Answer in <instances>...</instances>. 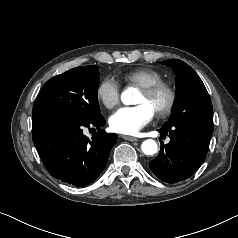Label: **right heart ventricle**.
Segmentation results:
<instances>
[{"label":"right heart ventricle","mask_w":238,"mask_h":238,"mask_svg":"<svg viewBox=\"0 0 238 238\" xmlns=\"http://www.w3.org/2000/svg\"><path fill=\"white\" fill-rule=\"evenodd\" d=\"M123 79L128 83L135 84L139 87H145L162 81L163 76L155 69L142 67L126 72L123 75Z\"/></svg>","instance_id":"e07e8e85"}]
</instances>
